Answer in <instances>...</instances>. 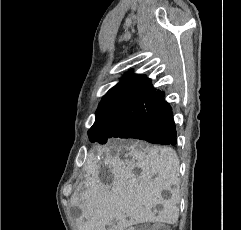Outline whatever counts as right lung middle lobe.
<instances>
[{"label":"right lung middle lobe","mask_w":241,"mask_h":230,"mask_svg":"<svg viewBox=\"0 0 241 230\" xmlns=\"http://www.w3.org/2000/svg\"><path fill=\"white\" fill-rule=\"evenodd\" d=\"M145 107L129 113L111 111L99 117L88 131L90 141L105 144L112 138H136V128L145 122Z\"/></svg>","instance_id":"right-lung-middle-lobe-1"}]
</instances>
